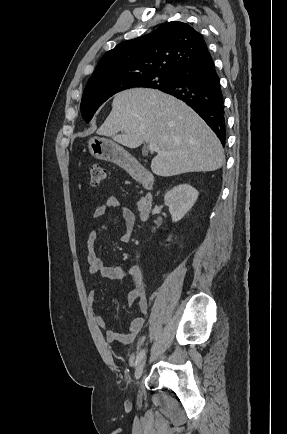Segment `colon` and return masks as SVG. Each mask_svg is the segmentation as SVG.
I'll return each mask as SVG.
<instances>
[{
    "instance_id": "obj_1",
    "label": "colon",
    "mask_w": 287,
    "mask_h": 434,
    "mask_svg": "<svg viewBox=\"0 0 287 434\" xmlns=\"http://www.w3.org/2000/svg\"><path fill=\"white\" fill-rule=\"evenodd\" d=\"M106 168L101 165H92L90 168V181L92 185L100 184L106 178Z\"/></svg>"
}]
</instances>
